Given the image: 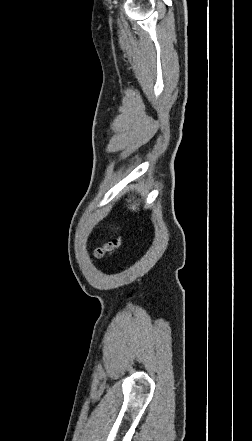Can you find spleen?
<instances>
[{
	"label": "spleen",
	"mask_w": 252,
	"mask_h": 441,
	"mask_svg": "<svg viewBox=\"0 0 252 441\" xmlns=\"http://www.w3.org/2000/svg\"><path fill=\"white\" fill-rule=\"evenodd\" d=\"M131 208H132L133 210H135V209H136V206H135V205H132Z\"/></svg>",
	"instance_id": "1"
}]
</instances>
